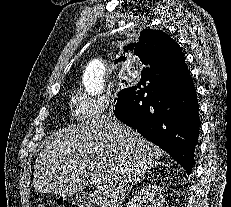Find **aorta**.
<instances>
[{"label":"aorta","instance_id":"obj_1","mask_svg":"<svg viewBox=\"0 0 231 207\" xmlns=\"http://www.w3.org/2000/svg\"><path fill=\"white\" fill-rule=\"evenodd\" d=\"M104 74L105 66L101 60L93 59L88 63L83 76L84 87L88 94L94 96L101 93Z\"/></svg>","mask_w":231,"mask_h":207}]
</instances>
